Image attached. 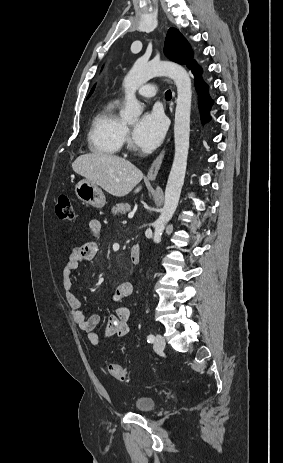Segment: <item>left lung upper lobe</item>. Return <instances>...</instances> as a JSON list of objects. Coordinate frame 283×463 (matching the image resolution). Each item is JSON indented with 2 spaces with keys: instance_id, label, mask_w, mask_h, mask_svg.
Returning <instances> with one entry per match:
<instances>
[{
  "instance_id": "5c2ea615",
  "label": "left lung upper lobe",
  "mask_w": 283,
  "mask_h": 463,
  "mask_svg": "<svg viewBox=\"0 0 283 463\" xmlns=\"http://www.w3.org/2000/svg\"><path fill=\"white\" fill-rule=\"evenodd\" d=\"M165 55L172 61L191 66L195 61L192 60L193 53L187 40L175 28H170L167 32L165 45Z\"/></svg>"
}]
</instances>
